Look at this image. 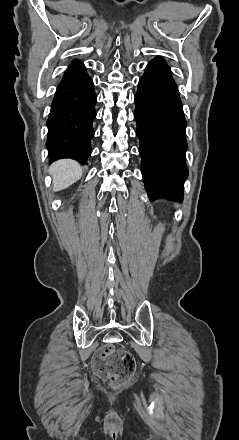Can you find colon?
<instances>
[{
	"mask_svg": "<svg viewBox=\"0 0 239 440\" xmlns=\"http://www.w3.org/2000/svg\"><path fill=\"white\" fill-rule=\"evenodd\" d=\"M93 368L97 375L117 386L133 375L135 359L128 351L106 346L96 352Z\"/></svg>",
	"mask_w": 239,
	"mask_h": 440,
	"instance_id": "1",
	"label": "colon"
}]
</instances>
